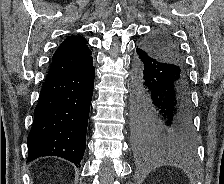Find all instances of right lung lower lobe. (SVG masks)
<instances>
[{
    "label": "right lung lower lobe",
    "instance_id": "right-lung-lower-lobe-1",
    "mask_svg": "<svg viewBox=\"0 0 224 184\" xmlns=\"http://www.w3.org/2000/svg\"><path fill=\"white\" fill-rule=\"evenodd\" d=\"M94 77L93 61L78 71L47 75L27 139V162L59 156L80 166L86 148Z\"/></svg>",
    "mask_w": 224,
    "mask_h": 184
}]
</instances>
